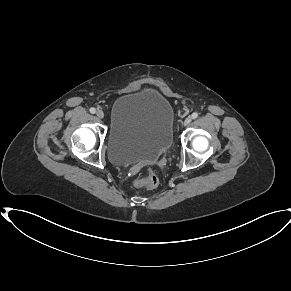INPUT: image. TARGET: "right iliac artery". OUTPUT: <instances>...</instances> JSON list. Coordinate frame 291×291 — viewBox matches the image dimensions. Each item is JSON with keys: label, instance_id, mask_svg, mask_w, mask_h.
Here are the masks:
<instances>
[{"label": "right iliac artery", "instance_id": "right-iliac-artery-1", "mask_svg": "<svg viewBox=\"0 0 291 291\" xmlns=\"http://www.w3.org/2000/svg\"><path fill=\"white\" fill-rule=\"evenodd\" d=\"M90 113H92V114H94V113H96V109L95 108H90Z\"/></svg>", "mask_w": 291, "mask_h": 291}]
</instances>
